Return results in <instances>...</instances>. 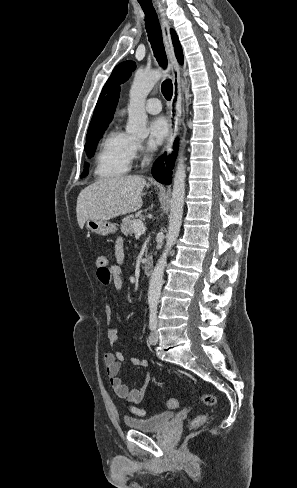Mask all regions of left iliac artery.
I'll return each instance as SVG.
<instances>
[{"mask_svg": "<svg viewBox=\"0 0 297 488\" xmlns=\"http://www.w3.org/2000/svg\"><path fill=\"white\" fill-rule=\"evenodd\" d=\"M157 327V308H150L149 328L154 330Z\"/></svg>", "mask_w": 297, "mask_h": 488, "instance_id": "obj_1", "label": "left iliac artery"}]
</instances>
